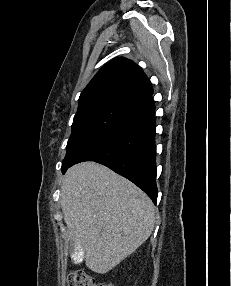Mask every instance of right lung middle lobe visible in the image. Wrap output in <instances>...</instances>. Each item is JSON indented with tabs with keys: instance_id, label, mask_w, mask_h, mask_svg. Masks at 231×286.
Here are the masks:
<instances>
[{
	"instance_id": "dd1d6c3e",
	"label": "right lung middle lobe",
	"mask_w": 231,
	"mask_h": 286,
	"mask_svg": "<svg viewBox=\"0 0 231 286\" xmlns=\"http://www.w3.org/2000/svg\"><path fill=\"white\" fill-rule=\"evenodd\" d=\"M134 115L135 110L116 103H100L78 110L62 168L115 126Z\"/></svg>"
}]
</instances>
